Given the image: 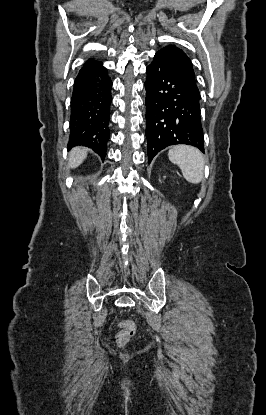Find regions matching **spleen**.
Here are the masks:
<instances>
[{
  "instance_id": "1",
  "label": "spleen",
  "mask_w": 266,
  "mask_h": 415,
  "mask_svg": "<svg viewBox=\"0 0 266 415\" xmlns=\"http://www.w3.org/2000/svg\"><path fill=\"white\" fill-rule=\"evenodd\" d=\"M169 160L178 165L186 181L199 184L204 176L203 154L195 147L175 146L168 152Z\"/></svg>"
}]
</instances>
